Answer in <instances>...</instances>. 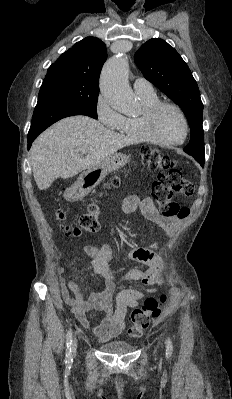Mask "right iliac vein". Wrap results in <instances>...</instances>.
Wrapping results in <instances>:
<instances>
[{"mask_svg": "<svg viewBox=\"0 0 232 399\" xmlns=\"http://www.w3.org/2000/svg\"><path fill=\"white\" fill-rule=\"evenodd\" d=\"M76 345H77V342H74L73 347H76Z\"/></svg>", "mask_w": 232, "mask_h": 399, "instance_id": "right-iliac-vein-1", "label": "right iliac vein"}]
</instances>
